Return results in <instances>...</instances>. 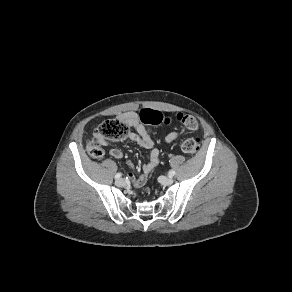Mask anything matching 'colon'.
<instances>
[{
    "mask_svg": "<svg viewBox=\"0 0 292 292\" xmlns=\"http://www.w3.org/2000/svg\"><path fill=\"white\" fill-rule=\"evenodd\" d=\"M139 116L141 121L147 125H157L167 121L161 113L151 109L142 110ZM177 119L188 130H195L198 126L197 120L191 115L180 113ZM128 133L129 126L122 120L112 119L103 121L96 128L93 139L88 143L87 150L92 157L98 158L103 154L101 148L102 140L121 141L127 138ZM200 143L199 137H190L183 141L181 149L187 154H194L200 149Z\"/></svg>",
    "mask_w": 292,
    "mask_h": 292,
    "instance_id": "obj_1",
    "label": "colon"
}]
</instances>
